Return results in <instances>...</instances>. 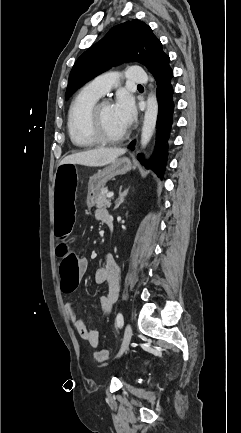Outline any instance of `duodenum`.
I'll return each mask as SVG.
<instances>
[{"mask_svg":"<svg viewBox=\"0 0 241 433\" xmlns=\"http://www.w3.org/2000/svg\"><path fill=\"white\" fill-rule=\"evenodd\" d=\"M104 222L108 226V228L110 230H112V228H113V220H112L111 216L105 217L104 218Z\"/></svg>","mask_w":241,"mask_h":433,"instance_id":"410a0bca","label":"duodenum"}]
</instances>
